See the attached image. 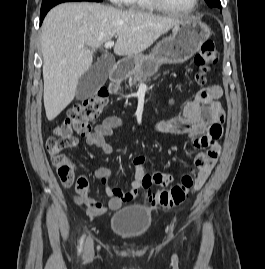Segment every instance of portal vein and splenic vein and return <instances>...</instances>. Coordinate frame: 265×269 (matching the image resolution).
I'll list each match as a JSON object with an SVG mask.
<instances>
[{
  "instance_id": "obj_1",
  "label": "portal vein and splenic vein",
  "mask_w": 265,
  "mask_h": 269,
  "mask_svg": "<svg viewBox=\"0 0 265 269\" xmlns=\"http://www.w3.org/2000/svg\"><path fill=\"white\" fill-rule=\"evenodd\" d=\"M113 46H114V41H108V42H106V43L104 44V47H105L106 49H109V48H111V47H113ZM78 48H79V49H83L84 46H79Z\"/></svg>"
}]
</instances>
